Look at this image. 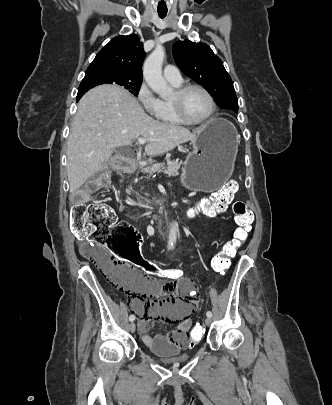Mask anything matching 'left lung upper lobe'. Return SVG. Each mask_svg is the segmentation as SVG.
I'll list each match as a JSON object with an SVG mask.
<instances>
[{"label": "left lung upper lobe", "mask_w": 332, "mask_h": 405, "mask_svg": "<svg viewBox=\"0 0 332 405\" xmlns=\"http://www.w3.org/2000/svg\"><path fill=\"white\" fill-rule=\"evenodd\" d=\"M172 51L177 66L185 75L202 85L220 107L238 112L233 82L220 58L207 44L177 41Z\"/></svg>", "instance_id": "5c2ea615"}]
</instances>
